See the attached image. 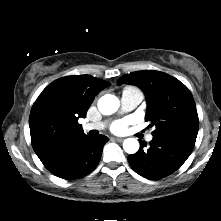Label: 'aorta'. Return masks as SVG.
<instances>
[{
  "label": "aorta",
  "instance_id": "762f6f07",
  "mask_svg": "<svg viewBox=\"0 0 221 221\" xmlns=\"http://www.w3.org/2000/svg\"><path fill=\"white\" fill-rule=\"evenodd\" d=\"M119 108V100L116 96L106 94L98 100V109L103 115H111ZM123 149L128 154H134L139 149V142L135 138H127L123 142Z\"/></svg>",
  "mask_w": 221,
  "mask_h": 221
}]
</instances>
